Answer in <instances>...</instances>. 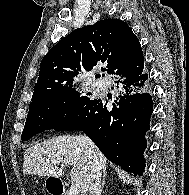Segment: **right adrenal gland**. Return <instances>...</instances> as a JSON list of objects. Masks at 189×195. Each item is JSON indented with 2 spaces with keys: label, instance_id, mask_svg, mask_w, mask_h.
<instances>
[{
  "label": "right adrenal gland",
  "instance_id": "right-adrenal-gland-1",
  "mask_svg": "<svg viewBox=\"0 0 189 195\" xmlns=\"http://www.w3.org/2000/svg\"><path fill=\"white\" fill-rule=\"evenodd\" d=\"M106 169L103 170V177H102V184H101V192L103 191L104 185H105V179H106Z\"/></svg>",
  "mask_w": 189,
  "mask_h": 195
}]
</instances>
